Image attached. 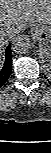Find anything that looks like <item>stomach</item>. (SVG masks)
Wrapping results in <instances>:
<instances>
[{"instance_id":"stomach-1","label":"stomach","mask_w":51,"mask_h":153,"mask_svg":"<svg viewBox=\"0 0 51 153\" xmlns=\"http://www.w3.org/2000/svg\"><path fill=\"white\" fill-rule=\"evenodd\" d=\"M33 31L38 38L40 49L49 56L51 53V23L49 25L36 24Z\"/></svg>"}]
</instances>
